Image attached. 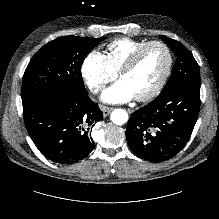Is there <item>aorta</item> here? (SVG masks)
I'll return each instance as SVG.
<instances>
[{"mask_svg": "<svg viewBox=\"0 0 219 219\" xmlns=\"http://www.w3.org/2000/svg\"><path fill=\"white\" fill-rule=\"evenodd\" d=\"M110 119L116 125H123L128 121V114L123 109H115L111 113Z\"/></svg>", "mask_w": 219, "mask_h": 219, "instance_id": "1", "label": "aorta"}]
</instances>
